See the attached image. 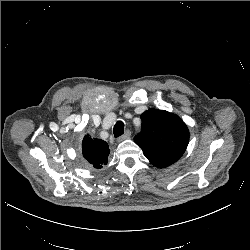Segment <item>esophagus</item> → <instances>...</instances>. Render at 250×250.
Instances as JSON below:
<instances>
[{
  "instance_id": "34e87169",
  "label": "esophagus",
  "mask_w": 250,
  "mask_h": 250,
  "mask_svg": "<svg viewBox=\"0 0 250 250\" xmlns=\"http://www.w3.org/2000/svg\"><path fill=\"white\" fill-rule=\"evenodd\" d=\"M130 136H131V132H130V130H127L122 136H120V137L117 139V141H118V142H121V141H123V140H126V139L130 138Z\"/></svg>"
}]
</instances>
